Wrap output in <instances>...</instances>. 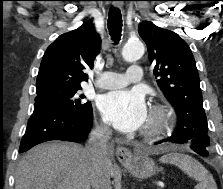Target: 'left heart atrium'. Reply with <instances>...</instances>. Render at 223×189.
Returning a JSON list of instances; mask_svg holds the SVG:
<instances>
[{
    "label": "left heart atrium",
    "instance_id": "1",
    "mask_svg": "<svg viewBox=\"0 0 223 189\" xmlns=\"http://www.w3.org/2000/svg\"><path fill=\"white\" fill-rule=\"evenodd\" d=\"M99 110L117 130L132 132L148 119L144 94L138 90H117L101 96Z\"/></svg>",
    "mask_w": 223,
    "mask_h": 189
}]
</instances>
